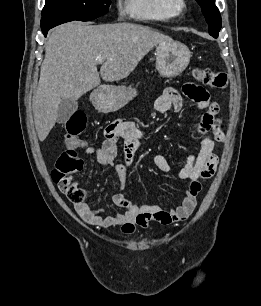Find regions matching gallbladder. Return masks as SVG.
<instances>
[{
	"label": "gallbladder",
	"instance_id": "bac80fb5",
	"mask_svg": "<svg viewBox=\"0 0 261 306\" xmlns=\"http://www.w3.org/2000/svg\"><path fill=\"white\" fill-rule=\"evenodd\" d=\"M78 103L74 99L65 98L61 101L57 111V122L66 123L69 118L77 111Z\"/></svg>",
	"mask_w": 261,
	"mask_h": 306
}]
</instances>
